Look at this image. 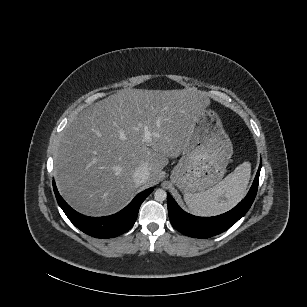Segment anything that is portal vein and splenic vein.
Wrapping results in <instances>:
<instances>
[{
  "instance_id": "obj_1",
  "label": "portal vein and splenic vein",
  "mask_w": 307,
  "mask_h": 307,
  "mask_svg": "<svg viewBox=\"0 0 307 307\" xmlns=\"http://www.w3.org/2000/svg\"><path fill=\"white\" fill-rule=\"evenodd\" d=\"M140 128L143 131V142L147 143L152 137L157 136V134L155 132H151L149 130V127L146 123L140 125Z\"/></svg>"
}]
</instances>
